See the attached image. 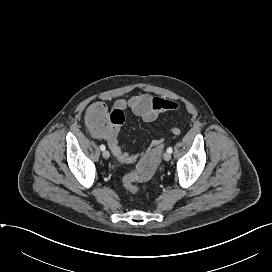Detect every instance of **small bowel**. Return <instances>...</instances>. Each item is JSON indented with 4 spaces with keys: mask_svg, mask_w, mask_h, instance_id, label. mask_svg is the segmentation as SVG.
<instances>
[{
    "mask_svg": "<svg viewBox=\"0 0 272 272\" xmlns=\"http://www.w3.org/2000/svg\"><path fill=\"white\" fill-rule=\"evenodd\" d=\"M115 108L122 111L130 110L144 122H153L162 113L177 111L179 104L173 100L152 97L148 94H139L119 98L115 102ZM171 131L174 135H179L181 133L180 128L177 126L172 127ZM118 132V127H111L103 133H95V136L107 142L109 149L119 161L124 163L135 162L141 154H131L124 151L118 143ZM160 143V140H153L151 146H157Z\"/></svg>",
    "mask_w": 272,
    "mask_h": 272,
    "instance_id": "obj_1",
    "label": "small bowel"
}]
</instances>
